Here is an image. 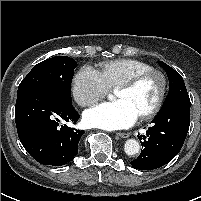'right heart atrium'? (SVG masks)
Segmentation results:
<instances>
[{"mask_svg": "<svg viewBox=\"0 0 201 201\" xmlns=\"http://www.w3.org/2000/svg\"><path fill=\"white\" fill-rule=\"evenodd\" d=\"M109 87L104 81L100 71L83 66L73 77L72 95L74 100L82 107H90L104 98Z\"/></svg>", "mask_w": 201, "mask_h": 201, "instance_id": "obj_1", "label": "right heart atrium"}]
</instances>
